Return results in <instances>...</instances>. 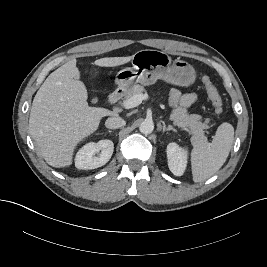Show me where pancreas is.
<instances>
[{"label": "pancreas", "instance_id": "cf45deb5", "mask_svg": "<svg viewBox=\"0 0 267 267\" xmlns=\"http://www.w3.org/2000/svg\"><path fill=\"white\" fill-rule=\"evenodd\" d=\"M143 92H145L143 86L138 84L134 85L127 92L124 102L135 95L142 94ZM170 119L173 121L174 125L178 127L189 128V131L192 134L191 140L193 143H202L207 141L204 130L209 128L208 120L202 122L200 115L188 114L185 108L175 107L171 111Z\"/></svg>", "mask_w": 267, "mask_h": 267}]
</instances>
